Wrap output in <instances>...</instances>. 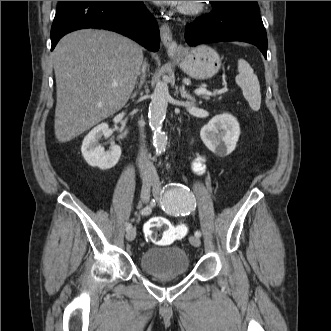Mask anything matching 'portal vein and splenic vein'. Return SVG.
Wrapping results in <instances>:
<instances>
[{
    "label": "portal vein and splenic vein",
    "instance_id": "portal-vein-and-splenic-vein-1",
    "mask_svg": "<svg viewBox=\"0 0 331 331\" xmlns=\"http://www.w3.org/2000/svg\"><path fill=\"white\" fill-rule=\"evenodd\" d=\"M112 86L115 88V87L118 86V83H117V82H113V83H112ZM222 92H224V90H220V91H218L217 93H222ZM194 93H195L196 95H204V94H209V95H211V94H212V93L208 92L207 89H205V88H199V89H196V90L194 91ZM214 94H216V93H214Z\"/></svg>",
    "mask_w": 331,
    "mask_h": 331
}]
</instances>
